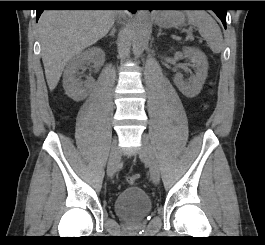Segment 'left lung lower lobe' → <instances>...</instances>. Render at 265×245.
<instances>
[{"label":"left lung lower lobe","instance_id":"left-lung-lower-lobe-1","mask_svg":"<svg viewBox=\"0 0 265 245\" xmlns=\"http://www.w3.org/2000/svg\"><path fill=\"white\" fill-rule=\"evenodd\" d=\"M165 3L166 5L169 6L183 7V6H196L198 5L199 1H168ZM213 11L220 18L224 27L226 28V9H214Z\"/></svg>","mask_w":265,"mask_h":245}]
</instances>
